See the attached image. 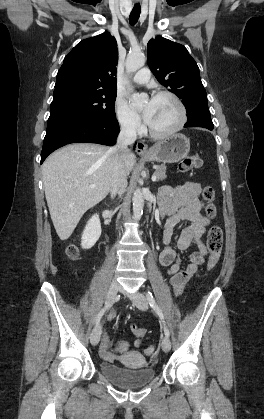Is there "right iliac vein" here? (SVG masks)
<instances>
[{"instance_id":"1","label":"right iliac vein","mask_w":264,"mask_h":419,"mask_svg":"<svg viewBox=\"0 0 264 419\" xmlns=\"http://www.w3.org/2000/svg\"><path fill=\"white\" fill-rule=\"evenodd\" d=\"M120 287L116 281H113L109 287V290L107 292L106 296V306L109 307L112 305V303L115 301L118 291ZM101 336V325L98 324L94 327V329L91 332L90 335V341L92 345H97Z\"/></svg>"}]
</instances>
